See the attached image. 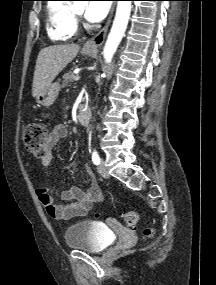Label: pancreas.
<instances>
[{
	"label": "pancreas",
	"instance_id": "obj_1",
	"mask_svg": "<svg viewBox=\"0 0 216 285\" xmlns=\"http://www.w3.org/2000/svg\"><path fill=\"white\" fill-rule=\"evenodd\" d=\"M74 73L72 71H68L63 76V82L62 87H66L68 84L72 83L74 81Z\"/></svg>",
	"mask_w": 216,
	"mask_h": 285
}]
</instances>
